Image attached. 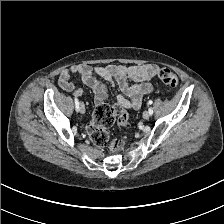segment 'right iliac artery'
I'll list each match as a JSON object with an SVG mask.
<instances>
[{
    "mask_svg": "<svg viewBox=\"0 0 224 224\" xmlns=\"http://www.w3.org/2000/svg\"><path fill=\"white\" fill-rule=\"evenodd\" d=\"M75 106H76V111L78 112L79 111V100L75 97Z\"/></svg>",
    "mask_w": 224,
    "mask_h": 224,
    "instance_id": "obj_1",
    "label": "right iliac artery"
}]
</instances>
